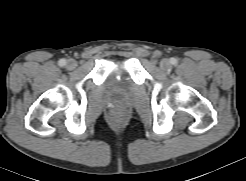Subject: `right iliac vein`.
<instances>
[{
  "mask_svg": "<svg viewBox=\"0 0 246 181\" xmlns=\"http://www.w3.org/2000/svg\"><path fill=\"white\" fill-rule=\"evenodd\" d=\"M66 67L69 69V70H73L77 67V62L76 60L74 59H69L67 61V64H66Z\"/></svg>",
  "mask_w": 246,
  "mask_h": 181,
  "instance_id": "63e3f726",
  "label": "right iliac vein"
}]
</instances>
